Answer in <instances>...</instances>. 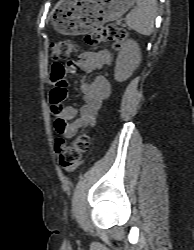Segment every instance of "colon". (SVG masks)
<instances>
[{"label": "colon", "instance_id": "obj_1", "mask_svg": "<svg viewBox=\"0 0 194 250\" xmlns=\"http://www.w3.org/2000/svg\"><path fill=\"white\" fill-rule=\"evenodd\" d=\"M127 37L124 29L112 24L100 26L87 34L86 43L94 46L104 42H111L115 47H120ZM77 50V45L72 40H60L52 45V55L55 59H67ZM54 85L62 79L61 75L52 76ZM67 97L65 89L59 90L56 87L51 93V102L54 106L62 103ZM89 145V137L86 133L79 134L76 139L66 144L62 137L56 139V155L60 165L64 169L71 168L81 158L82 154L87 150Z\"/></svg>", "mask_w": 194, "mask_h": 250}]
</instances>
